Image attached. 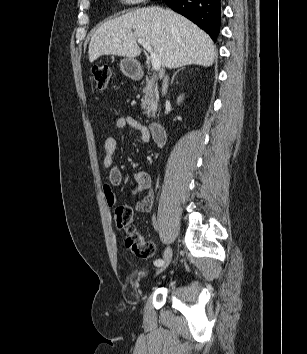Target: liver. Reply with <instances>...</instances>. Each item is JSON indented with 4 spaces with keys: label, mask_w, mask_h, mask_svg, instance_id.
Returning <instances> with one entry per match:
<instances>
[{
    "label": "liver",
    "mask_w": 307,
    "mask_h": 354,
    "mask_svg": "<svg viewBox=\"0 0 307 354\" xmlns=\"http://www.w3.org/2000/svg\"><path fill=\"white\" fill-rule=\"evenodd\" d=\"M139 38L153 47L161 65L170 69L192 64L208 67L216 55L212 39L194 23L170 9L151 6L101 25L89 43V61L102 55L137 57L141 53Z\"/></svg>",
    "instance_id": "liver-1"
}]
</instances>
